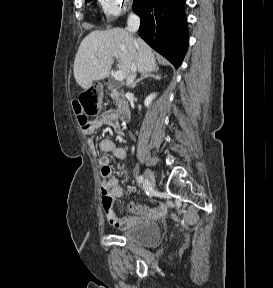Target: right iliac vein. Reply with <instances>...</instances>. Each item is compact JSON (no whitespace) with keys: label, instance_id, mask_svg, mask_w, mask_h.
I'll use <instances>...</instances> for the list:
<instances>
[{"label":"right iliac vein","instance_id":"right-iliac-vein-1","mask_svg":"<svg viewBox=\"0 0 273 288\" xmlns=\"http://www.w3.org/2000/svg\"><path fill=\"white\" fill-rule=\"evenodd\" d=\"M145 178H146L147 185L154 186L155 176H154V173L150 169L145 170Z\"/></svg>","mask_w":273,"mask_h":288}]
</instances>
